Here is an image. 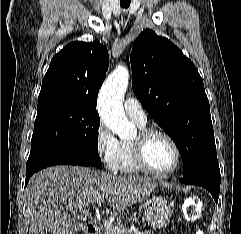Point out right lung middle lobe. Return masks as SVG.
Masks as SVG:
<instances>
[{"label": "right lung middle lobe", "mask_w": 241, "mask_h": 234, "mask_svg": "<svg viewBox=\"0 0 241 234\" xmlns=\"http://www.w3.org/2000/svg\"><path fill=\"white\" fill-rule=\"evenodd\" d=\"M99 126L100 119L94 111L61 104L37 107L30 154L51 147L66 148L101 168Z\"/></svg>", "instance_id": "dd1d6c3e"}]
</instances>
